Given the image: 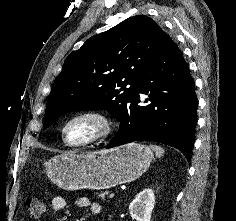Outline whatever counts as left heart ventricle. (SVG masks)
I'll return each mask as SVG.
<instances>
[{"mask_svg": "<svg viewBox=\"0 0 236 221\" xmlns=\"http://www.w3.org/2000/svg\"><path fill=\"white\" fill-rule=\"evenodd\" d=\"M101 130L99 122L92 118H83L71 123L65 132L70 143H80L89 140Z\"/></svg>", "mask_w": 236, "mask_h": 221, "instance_id": "obj_1", "label": "left heart ventricle"}]
</instances>
